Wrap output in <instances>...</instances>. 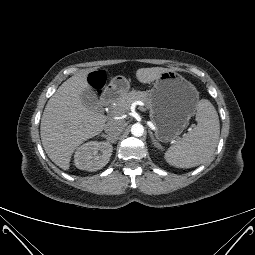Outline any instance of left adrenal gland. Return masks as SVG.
<instances>
[{"mask_svg":"<svg viewBox=\"0 0 255 255\" xmlns=\"http://www.w3.org/2000/svg\"><path fill=\"white\" fill-rule=\"evenodd\" d=\"M149 133H150V137H151V140H152L153 145H154L155 147L158 148V147H159V146H158V143H157L156 140L154 139L152 132L149 131Z\"/></svg>","mask_w":255,"mask_h":255,"instance_id":"1","label":"left adrenal gland"}]
</instances>
